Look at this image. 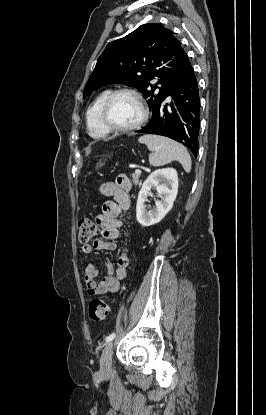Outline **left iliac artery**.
<instances>
[{
    "instance_id": "left-iliac-artery-1",
    "label": "left iliac artery",
    "mask_w": 266,
    "mask_h": 415,
    "mask_svg": "<svg viewBox=\"0 0 266 415\" xmlns=\"http://www.w3.org/2000/svg\"><path fill=\"white\" fill-rule=\"evenodd\" d=\"M115 336H116V334L115 333H111L110 335H108L107 337H106V343H108V342H110V341H112L114 338H115Z\"/></svg>"
}]
</instances>
